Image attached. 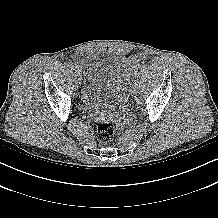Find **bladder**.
Here are the masks:
<instances>
[{
	"label": "bladder",
	"mask_w": 218,
	"mask_h": 218,
	"mask_svg": "<svg viewBox=\"0 0 218 218\" xmlns=\"http://www.w3.org/2000/svg\"><path fill=\"white\" fill-rule=\"evenodd\" d=\"M75 63L82 77V104L89 111L109 115L114 110V101L119 99L120 88L130 72L131 66L127 59L81 52L76 56Z\"/></svg>",
	"instance_id": "1"
}]
</instances>
